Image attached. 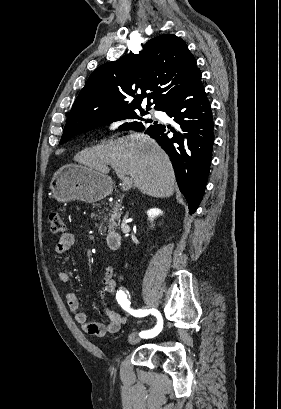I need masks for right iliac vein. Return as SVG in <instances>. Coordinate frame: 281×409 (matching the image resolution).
<instances>
[{
    "label": "right iliac vein",
    "mask_w": 281,
    "mask_h": 409,
    "mask_svg": "<svg viewBox=\"0 0 281 409\" xmlns=\"http://www.w3.org/2000/svg\"><path fill=\"white\" fill-rule=\"evenodd\" d=\"M140 340H141V337H139L136 333L131 334L129 336V343L132 345L139 343Z\"/></svg>",
    "instance_id": "63e3f726"
}]
</instances>
